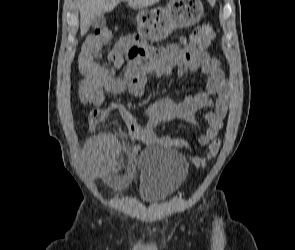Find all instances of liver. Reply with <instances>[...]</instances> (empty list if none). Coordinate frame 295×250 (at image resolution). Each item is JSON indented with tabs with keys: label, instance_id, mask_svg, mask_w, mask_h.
<instances>
[{
	"label": "liver",
	"instance_id": "1",
	"mask_svg": "<svg viewBox=\"0 0 295 250\" xmlns=\"http://www.w3.org/2000/svg\"><path fill=\"white\" fill-rule=\"evenodd\" d=\"M160 0H79L80 34L87 33L92 20L104 13L111 12L120 2H128L133 9H143L158 3Z\"/></svg>",
	"mask_w": 295,
	"mask_h": 250
}]
</instances>
